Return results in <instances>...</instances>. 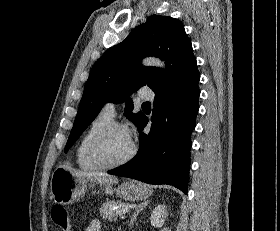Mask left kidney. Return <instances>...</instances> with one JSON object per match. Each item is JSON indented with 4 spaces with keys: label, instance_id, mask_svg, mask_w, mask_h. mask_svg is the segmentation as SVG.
<instances>
[{
    "label": "left kidney",
    "instance_id": "1",
    "mask_svg": "<svg viewBox=\"0 0 280 231\" xmlns=\"http://www.w3.org/2000/svg\"><path fill=\"white\" fill-rule=\"evenodd\" d=\"M167 215L168 213L165 203H162V205H157V207H155L151 213V225H154V227H162V225L165 223Z\"/></svg>",
    "mask_w": 280,
    "mask_h": 231
}]
</instances>
